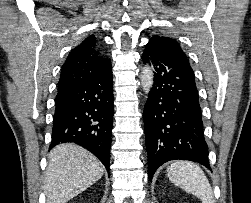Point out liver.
I'll use <instances>...</instances> for the list:
<instances>
[{
	"label": "liver",
	"mask_w": 251,
	"mask_h": 203,
	"mask_svg": "<svg viewBox=\"0 0 251 203\" xmlns=\"http://www.w3.org/2000/svg\"><path fill=\"white\" fill-rule=\"evenodd\" d=\"M44 181L47 203H66L95 182L104 173L99 160L75 144H60L49 154Z\"/></svg>",
	"instance_id": "liver-1"
}]
</instances>
